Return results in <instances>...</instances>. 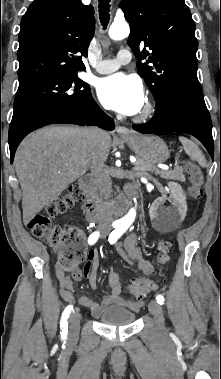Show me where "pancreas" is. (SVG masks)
<instances>
[{
    "mask_svg": "<svg viewBox=\"0 0 221 379\" xmlns=\"http://www.w3.org/2000/svg\"><path fill=\"white\" fill-rule=\"evenodd\" d=\"M134 166L137 167L136 171L146 174L147 172L151 171H156V175H160L161 178L164 179H170V180H178V181H185V175L183 173V168L182 167H175L174 170L171 171H157L154 165H150L146 163L144 160L138 159L134 163Z\"/></svg>",
    "mask_w": 221,
    "mask_h": 379,
    "instance_id": "cf45deb5",
    "label": "pancreas"
}]
</instances>
